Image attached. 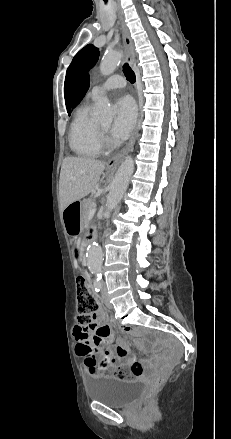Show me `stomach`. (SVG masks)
I'll list each match as a JSON object with an SVG mask.
<instances>
[{"mask_svg": "<svg viewBox=\"0 0 231 439\" xmlns=\"http://www.w3.org/2000/svg\"><path fill=\"white\" fill-rule=\"evenodd\" d=\"M67 208L64 209L63 213H65ZM63 223H64V229L69 235H76L79 233V230L81 228V223L77 218H69L68 215L65 214L63 216Z\"/></svg>", "mask_w": 231, "mask_h": 439, "instance_id": "stomach-1", "label": "stomach"}]
</instances>
